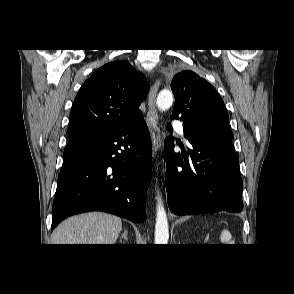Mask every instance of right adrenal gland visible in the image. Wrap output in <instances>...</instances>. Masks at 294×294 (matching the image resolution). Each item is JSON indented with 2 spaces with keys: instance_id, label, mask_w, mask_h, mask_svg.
Returning <instances> with one entry per match:
<instances>
[{
  "instance_id": "2a0ac1e0",
  "label": "right adrenal gland",
  "mask_w": 294,
  "mask_h": 294,
  "mask_svg": "<svg viewBox=\"0 0 294 294\" xmlns=\"http://www.w3.org/2000/svg\"><path fill=\"white\" fill-rule=\"evenodd\" d=\"M122 239H124L126 241L128 240V231L126 229H124V232L120 238V241H122Z\"/></svg>"
}]
</instances>
